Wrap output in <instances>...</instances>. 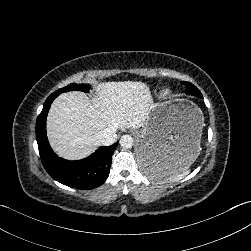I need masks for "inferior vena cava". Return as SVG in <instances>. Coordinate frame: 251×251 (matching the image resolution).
<instances>
[{
	"mask_svg": "<svg viewBox=\"0 0 251 251\" xmlns=\"http://www.w3.org/2000/svg\"><path fill=\"white\" fill-rule=\"evenodd\" d=\"M96 138L100 141L101 145L109 146L117 140V134L115 129L106 128L100 131Z\"/></svg>",
	"mask_w": 251,
	"mask_h": 251,
	"instance_id": "602c4592",
	"label": "inferior vena cava"
}]
</instances>
